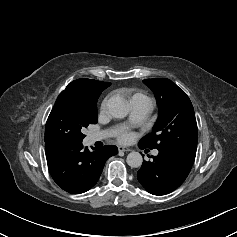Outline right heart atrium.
Returning a JSON list of instances; mask_svg holds the SVG:
<instances>
[{"instance_id": "1", "label": "right heart atrium", "mask_w": 237, "mask_h": 237, "mask_svg": "<svg viewBox=\"0 0 237 237\" xmlns=\"http://www.w3.org/2000/svg\"><path fill=\"white\" fill-rule=\"evenodd\" d=\"M106 99L102 102V105H101V109L103 110V109H105V107H106Z\"/></svg>"}]
</instances>
